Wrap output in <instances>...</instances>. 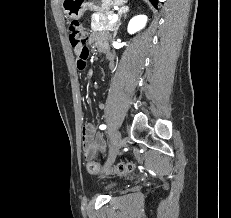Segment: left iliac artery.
Instances as JSON below:
<instances>
[{
	"instance_id": "1",
	"label": "left iliac artery",
	"mask_w": 231,
	"mask_h": 218,
	"mask_svg": "<svg viewBox=\"0 0 231 218\" xmlns=\"http://www.w3.org/2000/svg\"><path fill=\"white\" fill-rule=\"evenodd\" d=\"M99 128H100L101 130H104V129H106V125L102 124V125H100Z\"/></svg>"
}]
</instances>
